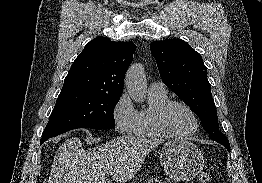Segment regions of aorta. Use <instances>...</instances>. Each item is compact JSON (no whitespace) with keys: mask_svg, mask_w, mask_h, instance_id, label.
Here are the masks:
<instances>
[{"mask_svg":"<svg viewBox=\"0 0 262 183\" xmlns=\"http://www.w3.org/2000/svg\"><path fill=\"white\" fill-rule=\"evenodd\" d=\"M125 86L135 102H144L147 86L142 66L135 64L128 69L125 76Z\"/></svg>","mask_w":262,"mask_h":183,"instance_id":"1","label":"aorta"}]
</instances>
